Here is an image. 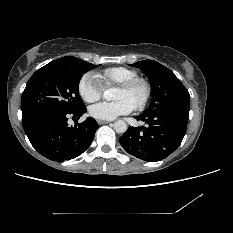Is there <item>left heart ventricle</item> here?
Returning <instances> with one entry per match:
<instances>
[{
	"instance_id": "b2bd125f",
	"label": "left heart ventricle",
	"mask_w": 233,
	"mask_h": 233,
	"mask_svg": "<svg viewBox=\"0 0 233 233\" xmlns=\"http://www.w3.org/2000/svg\"><path fill=\"white\" fill-rule=\"evenodd\" d=\"M143 91L140 86L135 87L133 90L128 91L123 88L118 87L116 89L114 99H127L129 100L134 106L140 101L142 98Z\"/></svg>"
}]
</instances>
